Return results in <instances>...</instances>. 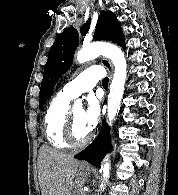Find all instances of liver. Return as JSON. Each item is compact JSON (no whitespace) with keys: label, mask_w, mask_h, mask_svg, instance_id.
<instances>
[{"label":"liver","mask_w":178,"mask_h":195,"mask_svg":"<svg viewBox=\"0 0 178 195\" xmlns=\"http://www.w3.org/2000/svg\"><path fill=\"white\" fill-rule=\"evenodd\" d=\"M38 159L41 195H65L77 176L79 161L45 145L40 148Z\"/></svg>","instance_id":"1"}]
</instances>
